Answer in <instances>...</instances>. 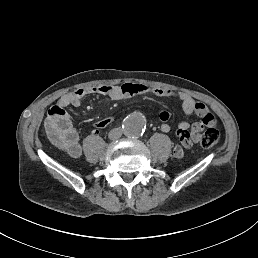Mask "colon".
I'll list each match as a JSON object with an SVG mask.
<instances>
[{
	"label": "colon",
	"instance_id": "1",
	"mask_svg": "<svg viewBox=\"0 0 258 258\" xmlns=\"http://www.w3.org/2000/svg\"><path fill=\"white\" fill-rule=\"evenodd\" d=\"M219 141V132L214 127L207 129L201 136L200 144L203 148L209 149L214 147Z\"/></svg>",
	"mask_w": 258,
	"mask_h": 258
}]
</instances>
